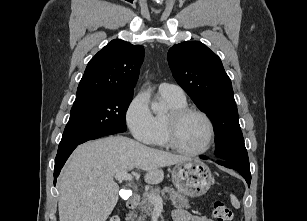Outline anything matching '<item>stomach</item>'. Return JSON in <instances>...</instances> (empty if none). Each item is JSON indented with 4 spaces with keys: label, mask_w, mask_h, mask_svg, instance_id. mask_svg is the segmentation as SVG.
<instances>
[{
    "label": "stomach",
    "mask_w": 307,
    "mask_h": 221,
    "mask_svg": "<svg viewBox=\"0 0 307 221\" xmlns=\"http://www.w3.org/2000/svg\"><path fill=\"white\" fill-rule=\"evenodd\" d=\"M172 182L184 195L199 197L209 190L213 177L205 163L189 159L174 166Z\"/></svg>",
    "instance_id": "stomach-1"
}]
</instances>
